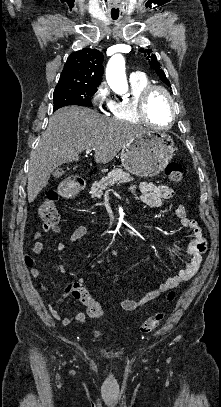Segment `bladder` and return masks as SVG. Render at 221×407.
I'll use <instances>...</instances> for the list:
<instances>
[{
  "label": "bladder",
  "instance_id": "bladder-1",
  "mask_svg": "<svg viewBox=\"0 0 221 407\" xmlns=\"http://www.w3.org/2000/svg\"><path fill=\"white\" fill-rule=\"evenodd\" d=\"M97 335H98V336H101V335H102V333H101V332H98V333H97Z\"/></svg>",
  "mask_w": 221,
  "mask_h": 407
}]
</instances>
